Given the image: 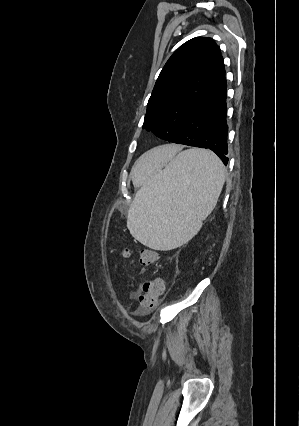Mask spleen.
Here are the masks:
<instances>
[{"mask_svg":"<svg viewBox=\"0 0 299 426\" xmlns=\"http://www.w3.org/2000/svg\"><path fill=\"white\" fill-rule=\"evenodd\" d=\"M225 177L222 161L211 151L178 153L137 191L127 215L131 235L154 250L185 244L216 206Z\"/></svg>","mask_w":299,"mask_h":426,"instance_id":"obj_1","label":"spleen"}]
</instances>
